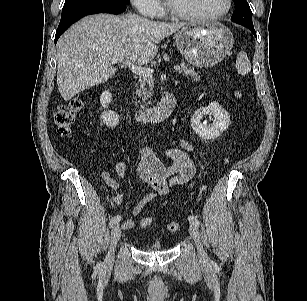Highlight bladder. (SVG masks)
Instances as JSON below:
<instances>
[{"label":"bladder","mask_w":307,"mask_h":301,"mask_svg":"<svg viewBox=\"0 0 307 301\" xmlns=\"http://www.w3.org/2000/svg\"><path fill=\"white\" fill-rule=\"evenodd\" d=\"M162 249H163V246H162L161 242H159V241L154 242L149 247V251H151V252H158V251H161Z\"/></svg>","instance_id":"31cf9c89"}]
</instances>
